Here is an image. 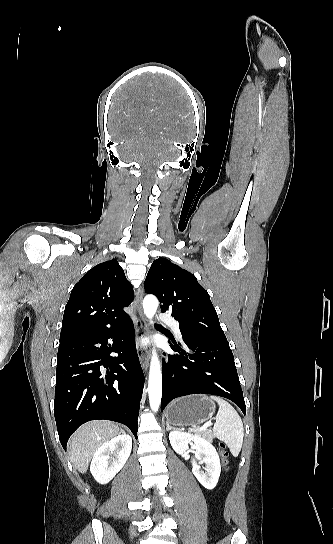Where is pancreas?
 Here are the masks:
<instances>
[{
    "label": "pancreas",
    "mask_w": 333,
    "mask_h": 544,
    "mask_svg": "<svg viewBox=\"0 0 333 544\" xmlns=\"http://www.w3.org/2000/svg\"><path fill=\"white\" fill-rule=\"evenodd\" d=\"M198 436H202L208 440H212L213 439V436L211 434V432L209 430H203V431H199L197 432Z\"/></svg>",
    "instance_id": "obj_1"
}]
</instances>
